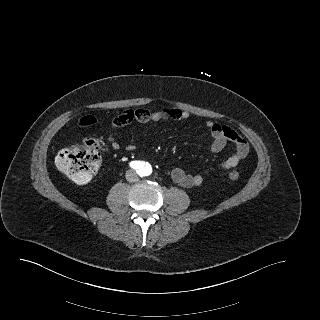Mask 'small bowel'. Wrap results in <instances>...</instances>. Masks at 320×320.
<instances>
[{
	"mask_svg": "<svg viewBox=\"0 0 320 320\" xmlns=\"http://www.w3.org/2000/svg\"><path fill=\"white\" fill-rule=\"evenodd\" d=\"M188 118L189 113L187 111L176 107H164L155 112H150L147 109H128L122 111L113 119L111 123V133L108 135L107 140L111 148L118 151L121 149V145L112 134V130L114 129L129 125L133 122L148 124L168 119L184 121ZM206 126L212 138L210 147L212 153L221 152L228 143H232L235 147L234 153L221 163L220 168L222 170L233 169L245 159L248 154V144L233 129L212 121H207ZM134 148L133 145H128L126 150L133 151ZM171 178L175 183L184 188H192L201 185L205 180V175L189 173L180 167H175L171 170Z\"/></svg>",
	"mask_w": 320,
	"mask_h": 320,
	"instance_id": "obj_1",
	"label": "small bowel"
}]
</instances>
